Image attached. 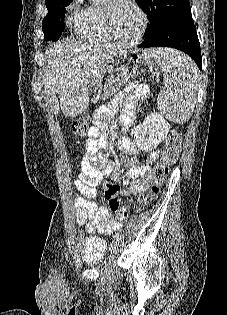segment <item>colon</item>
<instances>
[{"mask_svg":"<svg viewBox=\"0 0 227 315\" xmlns=\"http://www.w3.org/2000/svg\"><path fill=\"white\" fill-rule=\"evenodd\" d=\"M71 128L76 138H84L88 136L90 131L89 121L87 118H78L73 121ZM181 140V134L178 130L173 129L169 132L160 160L152 169L150 184L138 197V208L146 207L159 194L170 168L178 160ZM118 192L119 186L115 182H108L104 189V197L108 201L111 212L115 214L119 222L123 223L128 220L129 212L122 207Z\"/></svg>","mask_w":227,"mask_h":315,"instance_id":"5ec220e1","label":"colon"}]
</instances>
